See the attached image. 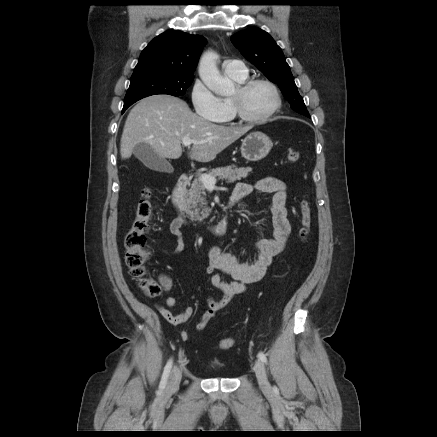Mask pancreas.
<instances>
[{"mask_svg": "<svg viewBox=\"0 0 437 437\" xmlns=\"http://www.w3.org/2000/svg\"><path fill=\"white\" fill-rule=\"evenodd\" d=\"M251 168H237L234 165L226 167H218L212 169L206 175L221 180H226L228 183H233L242 178H246ZM187 204L186 213L190 216L192 221L202 222L207 218L211 209L207 206L206 188L201 182V176L195 178L191 184L190 189L185 197Z\"/></svg>", "mask_w": 437, "mask_h": 437, "instance_id": "cf45deb5", "label": "pancreas"}]
</instances>
